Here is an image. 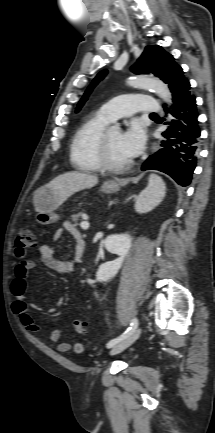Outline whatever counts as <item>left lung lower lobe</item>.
I'll return each instance as SVG.
<instances>
[{"instance_id": "0a47b994", "label": "left lung lower lobe", "mask_w": 215, "mask_h": 433, "mask_svg": "<svg viewBox=\"0 0 215 433\" xmlns=\"http://www.w3.org/2000/svg\"><path fill=\"white\" fill-rule=\"evenodd\" d=\"M170 113L174 119L162 133L166 138L161 148L143 164L142 170L155 169L171 176L179 185L187 186L192 178L198 156L200 129L196 99L190 93V83L183 77L172 88ZM166 108V105H164Z\"/></svg>"}]
</instances>
